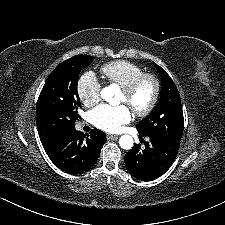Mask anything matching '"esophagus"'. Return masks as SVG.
I'll return each mask as SVG.
<instances>
[{
	"mask_svg": "<svg viewBox=\"0 0 225 225\" xmlns=\"http://www.w3.org/2000/svg\"><path fill=\"white\" fill-rule=\"evenodd\" d=\"M107 139H118V135H113V134H107Z\"/></svg>",
	"mask_w": 225,
	"mask_h": 225,
	"instance_id": "obj_1",
	"label": "esophagus"
}]
</instances>
